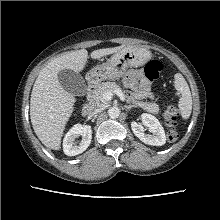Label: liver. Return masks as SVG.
I'll use <instances>...</instances> for the list:
<instances>
[{
  "instance_id": "1",
  "label": "liver",
  "mask_w": 220,
  "mask_h": 220,
  "mask_svg": "<svg viewBox=\"0 0 220 220\" xmlns=\"http://www.w3.org/2000/svg\"><path fill=\"white\" fill-rule=\"evenodd\" d=\"M124 45L103 48L91 53L92 59H99L120 51ZM88 51L77 50L57 57L39 73L30 98V118L34 132L44 144L53 149L61 148V138L65 126L74 111L76 102L73 94L66 91L58 80L61 70L80 72L87 64Z\"/></svg>"
}]
</instances>
